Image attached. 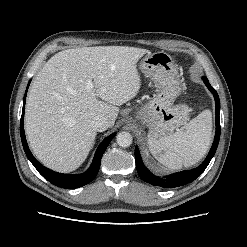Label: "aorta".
I'll list each match as a JSON object with an SVG mask.
<instances>
[{
  "instance_id": "1",
  "label": "aorta",
  "mask_w": 247,
  "mask_h": 247,
  "mask_svg": "<svg viewBox=\"0 0 247 247\" xmlns=\"http://www.w3.org/2000/svg\"><path fill=\"white\" fill-rule=\"evenodd\" d=\"M132 135L127 132L123 131L117 134L116 142L120 147L126 148L132 144Z\"/></svg>"
}]
</instances>
